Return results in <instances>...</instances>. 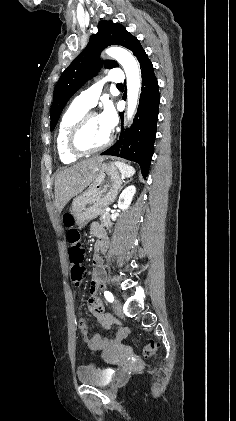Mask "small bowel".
Masks as SVG:
<instances>
[{
	"instance_id": "c3829d8e",
	"label": "small bowel",
	"mask_w": 236,
	"mask_h": 421,
	"mask_svg": "<svg viewBox=\"0 0 236 421\" xmlns=\"http://www.w3.org/2000/svg\"><path fill=\"white\" fill-rule=\"evenodd\" d=\"M91 230H92L93 234L96 235L99 230H104V229L98 223H93L92 226H91ZM95 292H96V286H95V283H93V286L91 287V293L94 295ZM94 307H98L99 309H101V307H102L100 301L95 296H93V298L90 300V303H89V308L91 310ZM84 326H85V323L80 322V327L82 328ZM125 333H126V329L121 327L120 332H119V336L124 335ZM101 347H107V346H101Z\"/></svg>"
}]
</instances>
